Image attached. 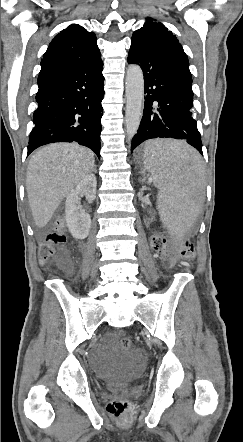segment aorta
<instances>
[{"mask_svg":"<svg viewBox=\"0 0 243 442\" xmlns=\"http://www.w3.org/2000/svg\"><path fill=\"white\" fill-rule=\"evenodd\" d=\"M126 99V133L132 139L138 131L144 104V78L138 65H130L127 69Z\"/></svg>","mask_w":243,"mask_h":442,"instance_id":"aorta-1","label":"aorta"}]
</instances>
